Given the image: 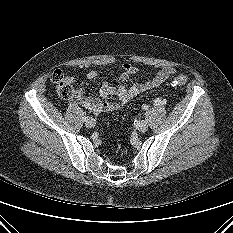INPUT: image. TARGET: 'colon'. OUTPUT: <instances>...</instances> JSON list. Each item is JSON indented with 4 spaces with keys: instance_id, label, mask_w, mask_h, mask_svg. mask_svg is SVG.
<instances>
[{
    "instance_id": "colon-1",
    "label": "colon",
    "mask_w": 233,
    "mask_h": 233,
    "mask_svg": "<svg viewBox=\"0 0 233 233\" xmlns=\"http://www.w3.org/2000/svg\"><path fill=\"white\" fill-rule=\"evenodd\" d=\"M188 78L185 75H179L171 82L172 86L178 87L186 84ZM51 81L56 86L59 96L63 99H71L75 95V89L71 81L60 71L56 70L51 75Z\"/></svg>"
}]
</instances>
